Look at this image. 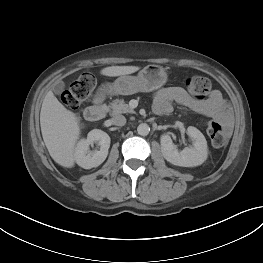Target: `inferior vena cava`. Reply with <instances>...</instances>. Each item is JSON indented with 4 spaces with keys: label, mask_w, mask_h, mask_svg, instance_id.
Masks as SVG:
<instances>
[{
    "label": "inferior vena cava",
    "mask_w": 263,
    "mask_h": 263,
    "mask_svg": "<svg viewBox=\"0 0 263 263\" xmlns=\"http://www.w3.org/2000/svg\"><path fill=\"white\" fill-rule=\"evenodd\" d=\"M112 123L116 126H124L126 124V118L123 115H115L112 117Z\"/></svg>",
    "instance_id": "inferior-vena-cava-1"
}]
</instances>
